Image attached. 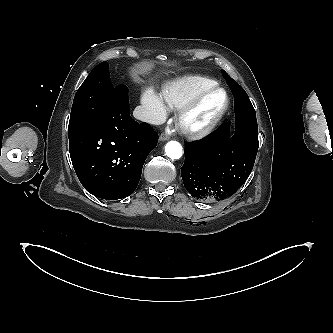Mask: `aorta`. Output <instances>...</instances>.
<instances>
[{
    "label": "aorta",
    "instance_id": "obj_1",
    "mask_svg": "<svg viewBox=\"0 0 333 333\" xmlns=\"http://www.w3.org/2000/svg\"><path fill=\"white\" fill-rule=\"evenodd\" d=\"M165 153L171 159H179L182 157V146L177 141H169L165 146Z\"/></svg>",
    "mask_w": 333,
    "mask_h": 333
}]
</instances>
